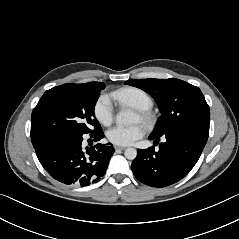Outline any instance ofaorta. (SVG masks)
Masks as SVG:
<instances>
[{
	"instance_id": "1",
	"label": "aorta",
	"mask_w": 239,
	"mask_h": 239,
	"mask_svg": "<svg viewBox=\"0 0 239 239\" xmlns=\"http://www.w3.org/2000/svg\"><path fill=\"white\" fill-rule=\"evenodd\" d=\"M136 120L135 113L129 109H122L116 115V122L121 125H129ZM128 160H134L137 156V151L134 148H127L124 152Z\"/></svg>"
}]
</instances>
